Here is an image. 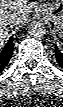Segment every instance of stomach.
Returning a JSON list of instances; mask_svg holds the SVG:
<instances>
[{
	"instance_id": "0dacf381",
	"label": "stomach",
	"mask_w": 63,
	"mask_h": 107,
	"mask_svg": "<svg viewBox=\"0 0 63 107\" xmlns=\"http://www.w3.org/2000/svg\"><path fill=\"white\" fill-rule=\"evenodd\" d=\"M35 11L51 21L60 34L63 33V0L38 4Z\"/></svg>"
}]
</instances>
